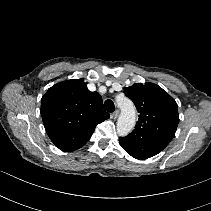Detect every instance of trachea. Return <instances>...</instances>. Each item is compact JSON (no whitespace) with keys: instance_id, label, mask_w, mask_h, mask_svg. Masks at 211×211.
<instances>
[{"instance_id":"3493384b","label":"trachea","mask_w":211,"mask_h":211,"mask_svg":"<svg viewBox=\"0 0 211 211\" xmlns=\"http://www.w3.org/2000/svg\"><path fill=\"white\" fill-rule=\"evenodd\" d=\"M104 109L107 111V112H114L115 110V106H114V103L112 100H106L104 102Z\"/></svg>"}]
</instances>
